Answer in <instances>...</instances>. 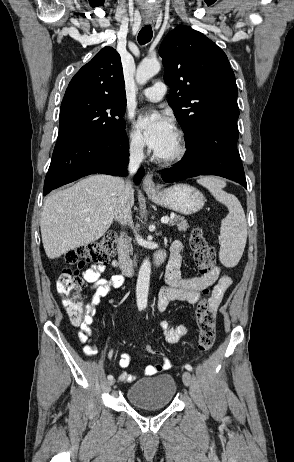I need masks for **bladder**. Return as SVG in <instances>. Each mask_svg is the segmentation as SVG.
<instances>
[{
	"label": "bladder",
	"instance_id": "bladder-1",
	"mask_svg": "<svg viewBox=\"0 0 294 462\" xmlns=\"http://www.w3.org/2000/svg\"><path fill=\"white\" fill-rule=\"evenodd\" d=\"M177 393V384L171 374H159L137 381L129 387L126 399L142 409H160L169 406Z\"/></svg>",
	"mask_w": 294,
	"mask_h": 462
}]
</instances>
